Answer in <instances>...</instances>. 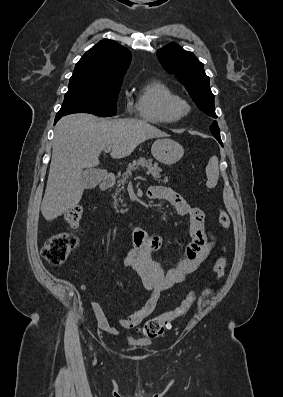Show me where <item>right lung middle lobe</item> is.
<instances>
[{
  "mask_svg": "<svg viewBox=\"0 0 283 397\" xmlns=\"http://www.w3.org/2000/svg\"><path fill=\"white\" fill-rule=\"evenodd\" d=\"M123 79L103 80L72 75L63 105L56 116L90 113L100 117L116 115Z\"/></svg>",
  "mask_w": 283,
  "mask_h": 397,
  "instance_id": "dd1d6c3e",
  "label": "right lung middle lobe"
}]
</instances>
